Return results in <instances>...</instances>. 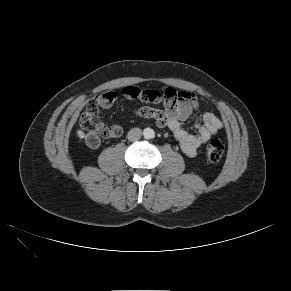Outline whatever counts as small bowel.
<instances>
[{
	"label": "small bowel",
	"mask_w": 291,
	"mask_h": 291,
	"mask_svg": "<svg viewBox=\"0 0 291 291\" xmlns=\"http://www.w3.org/2000/svg\"><path fill=\"white\" fill-rule=\"evenodd\" d=\"M122 93L126 99H138L148 103H162L164 106L163 110L144 106L138 108L135 114L142 118L153 119L158 127L170 129L178 141L181 150L188 157H194L199 147L223 127L222 120L212 113H203L198 116L194 124L195 133H190L183 127V122L199 108L198 98L192 92L185 90L177 91L173 88H167L163 92H159L126 86L123 88ZM152 96H154V99L150 100ZM96 100L98 101V110L100 108L106 109L113 105L116 100V94L106 92L96 97ZM98 110L96 113L97 118ZM111 127L119 129L122 133L120 126L112 125ZM99 143L100 141L95 146H88L97 148Z\"/></svg>",
	"instance_id": "c3829d8e"
}]
</instances>
